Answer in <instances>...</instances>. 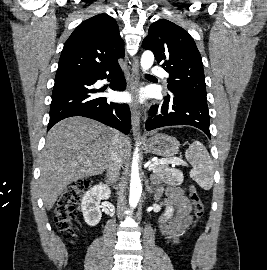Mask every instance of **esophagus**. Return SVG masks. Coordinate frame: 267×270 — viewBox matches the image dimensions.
Listing matches in <instances>:
<instances>
[{
	"label": "esophagus",
	"mask_w": 267,
	"mask_h": 270,
	"mask_svg": "<svg viewBox=\"0 0 267 270\" xmlns=\"http://www.w3.org/2000/svg\"><path fill=\"white\" fill-rule=\"evenodd\" d=\"M139 75H140L139 61L138 58L135 57L132 63L131 77L128 82V88L133 94H136L138 90ZM130 110H131L132 130L134 135H136L140 122V113L138 105L136 103L131 104Z\"/></svg>",
	"instance_id": "esophagus-1"
}]
</instances>
